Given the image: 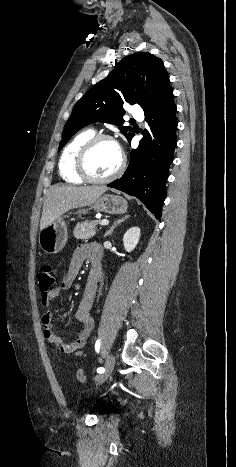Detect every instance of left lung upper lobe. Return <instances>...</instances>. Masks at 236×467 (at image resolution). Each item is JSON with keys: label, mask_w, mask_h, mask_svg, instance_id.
Masks as SVG:
<instances>
[{"label": "left lung upper lobe", "mask_w": 236, "mask_h": 467, "mask_svg": "<svg viewBox=\"0 0 236 467\" xmlns=\"http://www.w3.org/2000/svg\"><path fill=\"white\" fill-rule=\"evenodd\" d=\"M169 83V75L160 58L150 53H135L123 58L107 78L75 104L58 151L77 131L95 122L115 124L127 140L131 139L133 129L122 126L123 103H137L146 112L171 87Z\"/></svg>", "instance_id": "left-lung-upper-lobe-1"}]
</instances>
